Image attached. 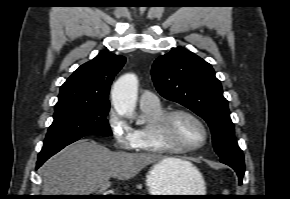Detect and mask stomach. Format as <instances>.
<instances>
[{"mask_svg":"<svg viewBox=\"0 0 290 199\" xmlns=\"http://www.w3.org/2000/svg\"><path fill=\"white\" fill-rule=\"evenodd\" d=\"M149 195H205V182L201 173L191 169L172 170L163 162H156L146 174ZM170 199H195L192 196L156 197Z\"/></svg>","mask_w":290,"mask_h":199,"instance_id":"0dacf381","label":"stomach"}]
</instances>
